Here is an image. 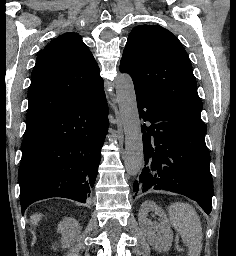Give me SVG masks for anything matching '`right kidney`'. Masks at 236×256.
<instances>
[{"instance_id": "ca27d5eb", "label": "right kidney", "mask_w": 236, "mask_h": 256, "mask_svg": "<svg viewBox=\"0 0 236 256\" xmlns=\"http://www.w3.org/2000/svg\"><path fill=\"white\" fill-rule=\"evenodd\" d=\"M57 232L62 236L63 248H70L75 242H80L81 226L74 218H64L59 222Z\"/></svg>"}]
</instances>
